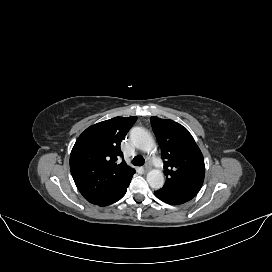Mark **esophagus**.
I'll list each match as a JSON object with an SVG mask.
<instances>
[{"label":"esophagus","instance_id":"1","mask_svg":"<svg viewBox=\"0 0 272 272\" xmlns=\"http://www.w3.org/2000/svg\"><path fill=\"white\" fill-rule=\"evenodd\" d=\"M150 169H151V166H150V164L147 163V164L144 166V171H145V172H148Z\"/></svg>","mask_w":272,"mask_h":272}]
</instances>
